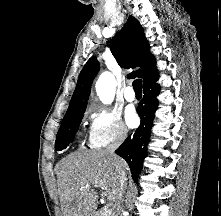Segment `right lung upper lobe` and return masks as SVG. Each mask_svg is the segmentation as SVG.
<instances>
[{
	"mask_svg": "<svg viewBox=\"0 0 221 216\" xmlns=\"http://www.w3.org/2000/svg\"><path fill=\"white\" fill-rule=\"evenodd\" d=\"M111 52L122 68L141 69L128 75L143 79V83L157 74L155 58L150 53L149 43L144 35V29L132 16L110 42ZM99 62L91 57L83 67L78 77L76 89L70 101V105L64 117L79 113L86 109L92 81L99 71Z\"/></svg>",
	"mask_w": 221,
	"mask_h": 216,
	"instance_id": "right-lung-upper-lobe-1",
	"label": "right lung upper lobe"
}]
</instances>
